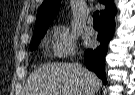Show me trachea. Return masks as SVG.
I'll list each match as a JSON object with an SVG mask.
<instances>
[{
	"label": "trachea",
	"instance_id": "1",
	"mask_svg": "<svg viewBox=\"0 0 135 95\" xmlns=\"http://www.w3.org/2000/svg\"><path fill=\"white\" fill-rule=\"evenodd\" d=\"M93 23H94V26H100L99 11H95L93 13Z\"/></svg>",
	"mask_w": 135,
	"mask_h": 95
}]
</instances>
